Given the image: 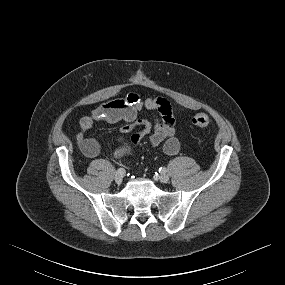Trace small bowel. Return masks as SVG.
I'll use <instances>...</instances> for the list:
<instances>
[{
  "instance_id": "1",
  "label": "small bowel",
  "mask_w": 285,
  "mask_h": 285,
  "mask_svg": "<svg viewBox=\"0 0 285 285\" xmlns=\"http://www.w3.org/2000/svg\"><path fill=\"white\" fill-rule=\"evenodd\" d=\"M143 110L156 113L153 123L139 117V113ZM97 122H124L120 127L121 133H130L137 127L141 128L137 134L131 136V143L135 146L142 138L149 135L151 145L153 147L161 145L167 155H174L180 149V141L175 134L174 113L170 103L164 98L142 99L136 93H129L124 98L101 104L89 115L82 117L76 139L80 149L88 157H95L99 153L98 143L87 137V133Z\"/></svg>"
}]
</instances>
